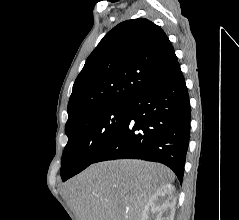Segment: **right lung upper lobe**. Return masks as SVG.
Returning <instances> with one entry per match:
<instances>
[{
  "instance_id": "1",
  "label": "right lung upper lobe",
  "mask_w": 239,
  "mask_h": 220,
  "mask_svg": "<svg viewBox=\"0 0 239 220\" xmlns=\"http://www.w3.org/2000/svg\"><path fill=\"white\" fill-rule=\"evenodd\" d=\"M176 63L159 26L143 18L120 23L103 37L76 78L66 126L90 112L127 103Z\"/></svg>"
}]
</instances>
